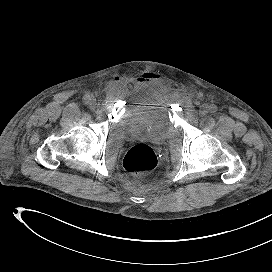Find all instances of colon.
Returning a JSON list of instances; mask_svg holds the SVG:
<instances>
[{
    "label": "colon",
    "instance_id": "obj_1",
    "mask_svg": "<svg viewBox=\"0 0 272 272\" xmlns=\"http://www.w3.org/2000/svg\"><path fill=\"white\" fill-rule=\"evenodd\" d=\"M123 165L130 173H146L156 167L157 157L151 147L145 144H138L126 153Z\"/></svg>",
    "mask_w": 272,
    "mask_h": 272
}]
</instances>
